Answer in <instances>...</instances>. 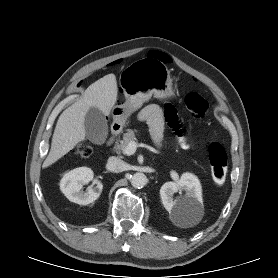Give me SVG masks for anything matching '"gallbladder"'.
I'll return each mask as SVG.
<instances>
[{
	"mask_svg": "<svg viewBox=\"0 0 278 278\" xmlns=\"http://www.w3.org/2000/svg\"><path fill=\"white\" fill-rule=\"evenodd\" d=\"M86 137L94 144H104L108 135L105 115L96 107H90L85 115Z\"/></svg>",
	"mask_w": 278,
	"mask_h": 278,
	"instance_id": "1",
	"label": "gallbladder"
}]
</instances>
